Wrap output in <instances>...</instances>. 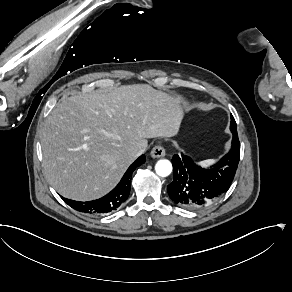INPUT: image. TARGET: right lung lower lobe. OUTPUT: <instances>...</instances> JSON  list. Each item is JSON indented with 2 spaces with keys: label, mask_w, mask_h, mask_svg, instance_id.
<instances>
[{
  "label": "right lung lower lobe",
  "mask_w": 292,
  "mask_h": 292,
  "mask_svg": "<svg viewBox=\"0 0 292 292\" xmlns=\"http://www.w3.org/2000/svg\"><path fill=\"white\" fill-rule=\"evenodd\" d=\"M145 155H141L134 163L130 165L119 184L107 195L102 198L81 202L74 201L61 196V198L73 209L88 213V214H102L116 210L122 203H124L130 193V178L136 167L145 162Z\"/></svg>",
  "instance_id": "right-lung-lower-lobe-1"
}]
</instances>
